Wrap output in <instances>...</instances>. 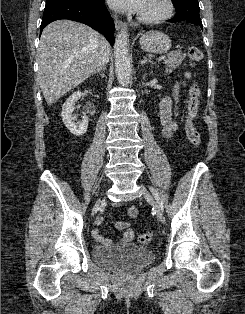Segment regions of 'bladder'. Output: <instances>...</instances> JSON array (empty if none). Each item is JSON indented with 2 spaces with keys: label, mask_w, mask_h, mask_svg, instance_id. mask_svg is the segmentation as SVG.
Returning a JSON list of instances; mask_svg holds the SVG:
<instances>
[{
  "label": "bladder",
  "mask_w": 245,
  "mask_h": 314,
  "mask_svg": "<svg viewBox=\"0 0 245 314\" xmlns=\"http://www.w3.org/2000/svg\"><path fill=\"white\" fill-rule=\"evenodd\" d=\"M93 258L106 267L136 271L153 262L155 253L138 245L97 246L93 249Z\"/></svg>",
  "instance_id": "1"
}]
</instances>
